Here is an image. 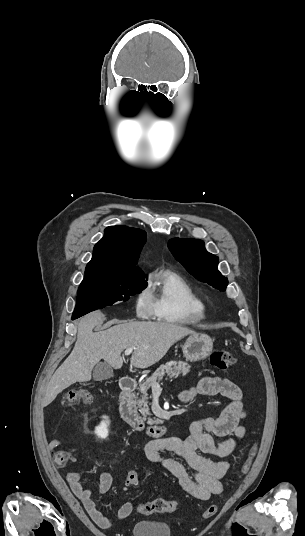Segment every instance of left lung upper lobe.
<instances>
[{"mask_svg":"<svg viewBox=\"0 0 305 536\" xmlns=\"http://www.w3.org/2000/svg\"><path fill=\"white\" fill-rule=\"evenodd\" d=\"M168 248L198 280L225 291L228 280L217 270L218 257L206 251L203 241L174 238L169 241Z\"/></svg>","mask_w":305,"mask_h":536,"instance_id":"1","label":"left lung upper lobe"}]
</instances>
